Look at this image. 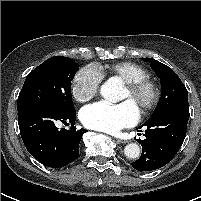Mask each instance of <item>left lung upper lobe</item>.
Instances as JSON below:
<instances>
[{"mask_svg": "<svg viewBox=\"0 0 201 201\" xmlns=\"http://www.w3.org/2000/svg\"><path fill=\"white\" fill-rule=\"evenodd\" d=\"M142 60L150 62L152 69L160 78L162 88L161 98L150 119L170 109L189 108L187 89L175 72L155 59Z\"/></svg>", "mask_w": 201, "mask_h": 201, "instance_id": "left-lung-upper-lobe-1", "label": "left lung upper lobe"}]
</instances>
